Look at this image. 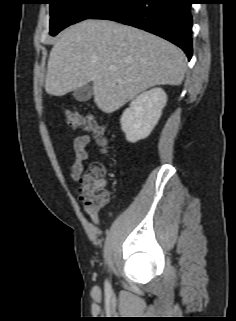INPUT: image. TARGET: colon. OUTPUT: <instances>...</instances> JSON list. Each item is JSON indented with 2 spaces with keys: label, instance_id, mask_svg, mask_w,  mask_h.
I'll return each instance as SVG.
<instances>
[{
  "label": "colon",
  "instance_id": "obj_1",
  "mask_svg": "<svg viewBox=\"0 0 236 321\" xmlns=\"http://www.w3.org/2000/svg\"><path fill=\"white\" fill-rule=\"evenodd\" d=\"M67 124L73 129H83L91 132L98 145L105 147L108 143L105 128L99 124L93 115H83L76 111L66 112ZM105 167L99 162L90 165L77 190L79 198L93 208H101L109 201V194L104 184Z\"/></svg>",
  "mask_w": 236,
  "mask_h": 321
}]
</instances>
